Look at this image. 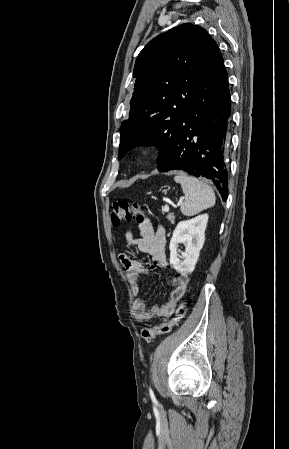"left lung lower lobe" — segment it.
<instances>
[{"label": "left lung lower lobe", "mask_w": 289, "mask_h": 449, "mask_svg": "<svg viewBox=\"0 0 289 449\" xmlns=\"http://www.w3.org/2000/svg\"><path fill=\"white\" fill-rule=\"evenodd\" d=\"M230 114L228 76L218 51L197 85L190 107L176 125L167 156L157 163V169L161 172L182 170L210 179L226 201L225 152L229 143Z\"/></svg>", "instance_id": "0a47b994"}]
</instances>
